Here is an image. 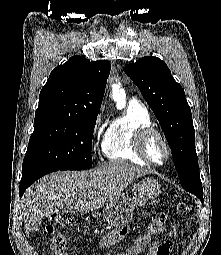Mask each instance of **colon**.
I'll list each match as a JSON object with an SVG mask.
<instances>
[{"label": "colon", "instance_id": "obj_1", "mask_svg": "<svg viewBox=\"0 0 221 255\" xmlns=\"http://www.w3.org/2000/svg\"><path fill=\"white\" fill-rule=\"evenodd\" d=\"M176 211L179 215L186 216L190 212V207L186 202L181 201L177 204ZM166 222L167 216L165 214H161L148 226V234L154 235L158 233L161 231ZM55 224L63 228H70L74 224L73 216L67 211L58 212L53 215L50 223L45 226V232L52 235V238L49 241V245L53 255H67V240L61 232L55 233Z\"/></svg>", "mask_w": 221, "mask_h": 255}]
</instances>
